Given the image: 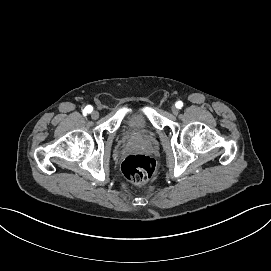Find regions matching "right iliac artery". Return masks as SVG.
Returning a JSON list of instances; mask_svg holds the SVG:
<instances>
[{"mask_svg":"<svg viewBox=\"0 0 271 271\" xmlns=\"http://www.w3.org/2000/svg\"><path fill=\"white\" fill-rule=\"evenodd\" d=\"M93 110V107L91 105H88L84 109V113H91Z\"/></svg>","mask_w":271,"mask_h":271,"instance_id":"82829eb1","label":"right iliac artery"}]
</instances>
